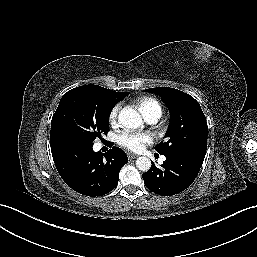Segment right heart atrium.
I'll return each instance as SVG.
<instances>
[{"label":"right heart atrium","instance_id":"obj_1","mask_svg":"<svg viewBox=\"0 0 257 257\" xmlns=\"http://www.w3.org/2000/svg\"><path fill=\"white\" fill-rule=\"evenodd\" d=\"M119 112H120V105H115L109 112V122L111 125H116L118 122V117H119Z\"/></svg>","mask_w":257,"mask_h":257}]
</instances>
